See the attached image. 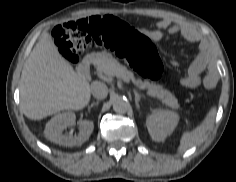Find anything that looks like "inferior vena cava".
I'll return each mask as SVG.
<instances>
[{
  "label": "inferior vena cava",
  "mask_w": 236,
  "mask_h": 182,
  "mask_svg": "<svg viewBox=\"0 0 236 182\" xmlns=\"http://www.w3.org/2000/svg\"><path fill=\"white\" fill-rule=\"evenodd\" d=\"M91 93L97 99H104L107 97L108 88L103 82L95 81L91 85Z\"/></svg>",
  "instance_id": "obj_1"
}]
</instances>
